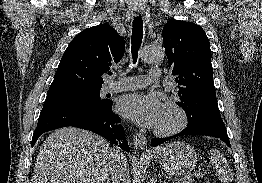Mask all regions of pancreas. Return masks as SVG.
<instances>
[{"mask_svg": "<svg viewBox=\"0 0 262 183\" xmlns=\"http://www.w3.org/2000/svg\"><path fill=\"white\" fill-rule=\"evenodd\" d=\"M179 183H194V181L193 180H191V179H183V180H180L179 181Z\"/></svg>", "mask_w": 262, "mask_h": 183, "instance_id": "pancreas-1", "label": "pancreas"}]
</instances>
